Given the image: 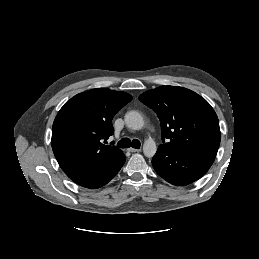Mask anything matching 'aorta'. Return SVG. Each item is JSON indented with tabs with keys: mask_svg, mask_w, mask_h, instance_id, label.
<instances>
[{
	"mask_svg": "<svg viewBox=\"0 0 259 259\" xmlns=\"http://www.w3.org/2000/svg\"><path fill=\"white\" fill-rule=\"evenodd\" d=\"M125 124L129 129L141 130L144 127V119L142 115L137 111H129L124 117ZM157 151L156 143L152 138L145 140L143 145L144 155L147 157H153Z\"/></svg>",
	"mask_w": 259,
	"mask_h": 259,
	"instance_id": "obj_1",
	"label": "aorta"
}]
</instances>
